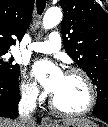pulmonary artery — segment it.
<instances>
[{"label":"pulmonary artery","mask_w":108,"mask_h":127,"mask_svg":"<svg viewBox=\"0 0 108 127\" xmlns=\"http://www.w3.org/2000/svg\"><path fill=\"white\" fill-rule=\"evenodd\" d=\"M61 48V37L57 32H51L47 41L34 42L30 50L40 53H55Z\"/></svg>","instance_id":"pulmonary-artery-1"}]
</instances>
